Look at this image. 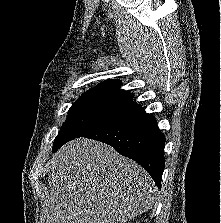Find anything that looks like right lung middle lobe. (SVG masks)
<instances>
[{
	"label": "right lung middle lobe",
	"mask_w": 221,
	"mask_h": 223,
	"mask_svg": "<svg viewBox=\"0 0 221 223\" xmlns=\"http://www.w3.org/2000/svg\"><path fill=\"white\" fill-rule=\"evenodd\" d=\"M135 108L132 105L103 100L76 101L68 111V117L54 141L52 152L72 139L112 124Z\"/></svg>",
	"instance_id": "1"
}]
</instances>
